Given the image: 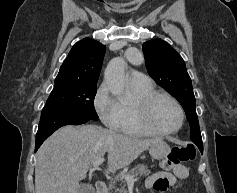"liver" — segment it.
I'll return each mask as SVG.
<instances>
[{
    "label": "liver",
    "instance_id": "1",
    "mask_svg": "<svg viewBox=\"0 0 237 193\" xmlns=\"http://www.w3.org/2000/svg\"><path fill=\"white\" fill-rule=\"evenodd\" d=\"M159 139H141L96 125L64 126L39 148L35 193H78L91 165L108 153L111 172L132 163Z\"/></svg>",
    "mask_w": 237,
    "mask_h": 193
}]
</instances>
